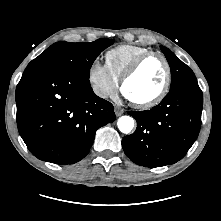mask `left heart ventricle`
<instances>
[{
	"mask_svg": "<svg viewBox=\"0 0 221 221\" xmlns=\"http://www.w3.org/2000/svg\"><path fill=\"white\" fill-rule=\"evenodd\" d=\"M165 66L158 57L148 59L140 70L125 84V94L133 101L154 97L165 81Z\"/></svg>",
	"mask_w": 221,
	"mask_h": 221,
	"instance_id": "obj_1",
	"label": "left heart ventricle"
}]
</instances>
